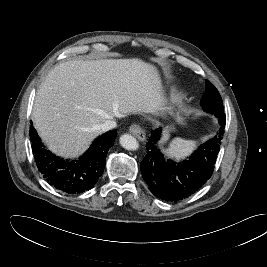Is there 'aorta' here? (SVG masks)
<instances>
[{
    "instance_id": "762f6f07",
    "label": "aorta",
    "mask_w": 267,
    "mask_h": 267,
    "mask_svg": "<svg viewBox=\"0 0 267 267\" xmlns=\"http://www.w3.org/2000/svg\"><path fill=\"white\" fill-rule=\"evenodd\" d=\"M120 144L126 150H137L139 148V143L135 137L130 134H124L120 137Z\"/></svg>"
}]
</instances>
